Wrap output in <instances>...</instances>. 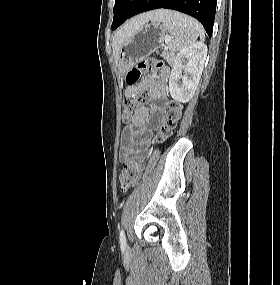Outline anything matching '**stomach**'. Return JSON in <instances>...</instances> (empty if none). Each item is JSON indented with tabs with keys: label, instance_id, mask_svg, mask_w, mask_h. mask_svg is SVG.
Segmentation results:
<instances>
[{
	"label": "stomach",
	"instance_id": "stomach-1",
	"mask_svg": "<svg viewBox=\"0 0 280 285\" xmlns=\"http://www.w3.org/2000/svg\"><path fill=\"white\" fill-rule=\"evenodd\" d=\"M165 36V27L159 21L141 26L122 44L118 57L119 72L124 75L134 64L156 51Z\"/></svg>",
	"mask_w": 280,
	"mask_h": 285
}]
</instances>
